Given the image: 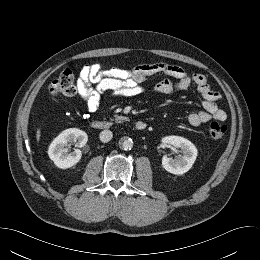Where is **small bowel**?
<instances>
[{
  "instance_id": "small-bowel-1",
  "label": "small bowel",
  "mask_w": 260,
  "mask_h": 260,
  "mask_svg": "<svg viewBox=\"0 0 260 260\" xmlns=\"http://www.w3.org/2000/svg\"><path fill=\"white\" fill-rule=\"evenodd\" d=\"M155 74H164L172 79L156 83L153 92L170 94L189 89L196 85L203 98L204 110L191 113L188 121L192 126H199L211 119L224 121L225 111L219 108L220 95L212 90L206 77L201 73H188L181 66L170 63H153L140 65L133 70L120 68L103 69L101 64L94 63L81 68L77 79V91L89 113H96L101 104L102 95L109 92L112 96L134 97L144 91V82Z\"/></svg>"
}]
</instances>
